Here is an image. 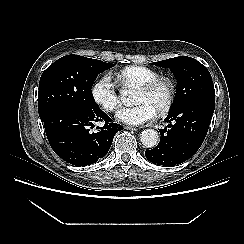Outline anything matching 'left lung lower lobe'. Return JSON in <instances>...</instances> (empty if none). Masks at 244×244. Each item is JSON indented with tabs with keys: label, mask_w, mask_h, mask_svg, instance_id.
Returning <instances> with one entry per match:
<instances>
[{
	"label": "left lung lower lobe",
	"mask_w": 244,
	"mask_h": 244,
	"mask_svg": "<svg viewBox=\"0 0 244 244\" xmlns=\"http://www.w3.org/2000/svg\"><path fill=\"white\" fill-rule=\"evenodd\" d=\"M214 108V98H197L170 110L165 118L170 124L168 128L160 129V142L155 148L145 151L146 158L163 166H174L188 160L202 145Z\"/></svg>",
	"instance_id": "obj_1"
}]
</instances>
